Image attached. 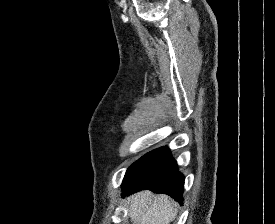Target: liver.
<instances>
[{
  "instance_id": "6515ba94",
  "label": "liver",
  "mask_w": 275,
  "mask_h": 224,
  "mask_svg": "<svg viewBox=\"0 0 275 224\" xmlns=\"http://www.w3.org/2000/svg\"><path fill=\"white\" fill-rule=\"evenodd\" d=\"M126 202L133 224H170L176 218V203L167 195L145 190L129 196Z\"/></svg>"
}]
</instances>
